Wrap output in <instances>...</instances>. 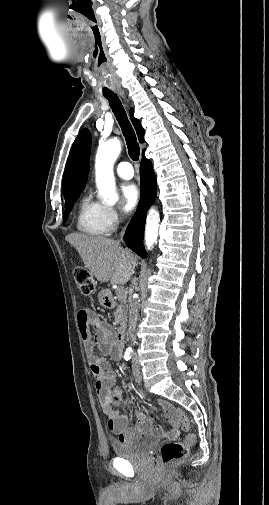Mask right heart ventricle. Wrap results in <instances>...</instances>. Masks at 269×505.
Wrapping results in <instances>:
<instances>
[{"instance_id":"1","label":"right heart ventricle","mask_w":269,"mask_h":505,"mask_svg":"<svg viewBox=\"0 0 269 505\" xmlns=\"http://www.w3.org/2000/svg\"><path fill=\"white\" fill-rule=\"evenodd\" d=\"M105 206L94 200L91 194L82 197L77 211V228L89 235L102 236L108 232L104 216Z\"/></svg>"}]
</instances>
